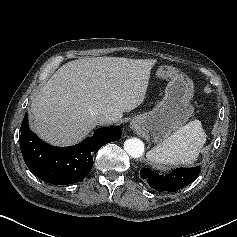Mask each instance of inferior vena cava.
<instances>
[{"label":"inferior vena cava","mask_w":237,"mask_h":237,"mask_svg":"<svg viewBox=\"0 0 237 237\" xmlns=\"http://www.w3.org/2000/svg\"><path fill=\"white\" fill-rule=\"evenodd\" d=\"M95 120L98 124L104 125V124H110V123L116 122L117 117L109 113H104V114L96 115Z\"/></svg>","instance_id":"obj_1"}]
</instances>
